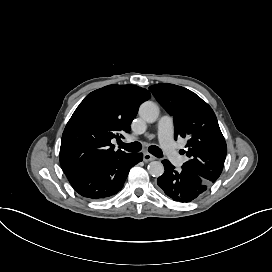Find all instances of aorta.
I'll list each match as a JSON object with an SVG mask.
<instances>
[{
    "mask_svg": "<svg viewBox=\"0 0 272 272\" xmlns=\"http://www.w3.org/2000/svg\"><path fill=\"white\" fill-rule=\"evenodd\" d=\"M159 107L153 101H146L140 105L139 115L148 123H153L159 116ZM148 172L153 177H160L164 173V166L160 161H151L148 164Z\"/></svg>",
    "mask_w": 272,
    "mask_h": 272,
    "instance_id": "aorta-1",
    "label": "aorta"
}]
</instances>
